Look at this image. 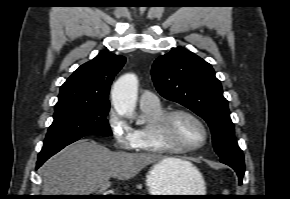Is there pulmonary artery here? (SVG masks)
<instances>
[{
    "mask_svg": "<svg viewBox=\"0 0 290 199\" xmlns=\"http://www.w3.org/2000/svg\"><path fill=\"white\" fill-rule=\"evenodd\" d=\"M140 107H152L156 108L160 106V100L156 94L149 90H144L141 92L139 97Z\"/></svg>",
    "mask_w": 290,
    "mask_h": 199,
    "instance_id": "1",
    "label": "pulmonary artery"
}]
</instances>
